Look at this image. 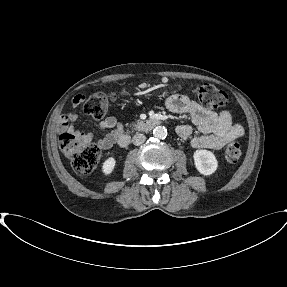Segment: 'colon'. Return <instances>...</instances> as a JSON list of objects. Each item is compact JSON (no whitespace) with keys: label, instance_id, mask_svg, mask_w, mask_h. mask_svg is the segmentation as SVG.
<instances>
[{"label":"colon","instance_id":"1","mask_svg":"<svg viewBox=\"0 0 287 287\" xmlns=\"http://www.w3.org/2000/svg\"><path fill=\"white\" fill-rule=\"evenodd\" d=\"M192 93L207 108H221L228 102L227 94L211 84L196 86ZM115 98L114 93L95 92L86 99L80 98L79 105L87 114L100 119L107 114L109 103ZM59 143L77 174L88 175L93 172L100 158V149L89 138L79 131L68 130L60 136ZM241 155L242 145L239 141H232L225 149V158L229 163L238 162Z\"/></svg>","mask_w":287,"mask_h":287}]
</instances>
